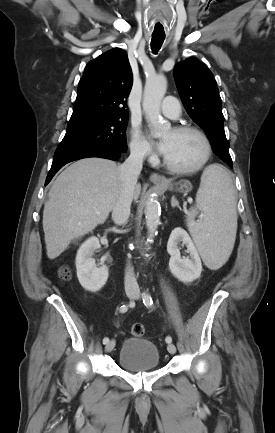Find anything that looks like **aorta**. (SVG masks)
Wrapping results in <instances>:
<instances>
[{
  "mask_svg": "<svg viewBox=\"0 0 275 433\" xmlns=\"http://www.w3.org/2000/svg\"><path fill=\"white\" fill-rule=\"evenodd\" d=\"M167 82L164 76L157 75L146 80L143 95V111L156 138L166 134L171 126L161 116L160 106L165 95ZM161 207L156 198L150 197L145 205L146 226L148 238L152 239L160 223Z\"/></svg>",
  "mask_w": 275,
  "mask_h": 433,
  "instance_id": "aorta-1",
  "label": "aorta"
}]
</instances>
